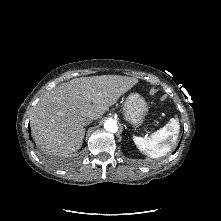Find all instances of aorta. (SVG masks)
<instances>
[{
    "mask_svg": "<svg viewBox=\"0 0 221 221\" xmlns=\"http://www.w3.org/2000/svg\"><path fill=\"white\" fill-rule=\"evenodd\" d=\"M104 128L107 131L112 132V133H114L118 130L117 123L113 119L106 120L105 123H104Z\"/></svg>",
    "mask_w": 221,
    "mask_h": 221,
    "instance_id": "aorta-1",
    "label": "aorta"
}]
</instances>
